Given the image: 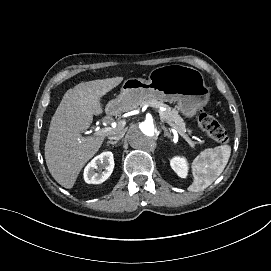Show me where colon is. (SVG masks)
Masks as SVG:
<instances>
[{
	"label": "colon",
	"instance_id": "colon-1",
	"mask_svg": "<svg viewBox=\"0 0 271 271\" xmlns=\"http://www.w3.org/2000/svg\"><path fill=\"white\" fill-rule=\"evenodd\" d=\"M196 120L199 127L211 140L218 143H226L228 141V134L225 127L213 116L208 114L206 110H199L196 115Z\"/></svg>",
	"mask_w": 271,
	"mask_h": 271
}]
</instances>
